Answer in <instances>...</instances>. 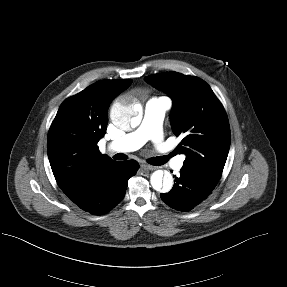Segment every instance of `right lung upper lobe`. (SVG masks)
I'll use <instances>...</instances> for the list:
<instances>
[{"mask_svg":"<svg viewBox=\"0 0 287 287\" xmlns=\"http://www.w3.org/2000/svg\"><path fill=\"white\" fill-rule=\"evenodd\" d=\"M131 83L98 81L60 105L49 129L47 152L59 187L72 201L97 172L115 162L99 152L97 143L106 132L110 103Z\"/></svg>","mask_w":287,"mask_h":287,"instance_id":"right-lung-upper-lobe-1","label":"right lung upper lobe"}]
</instances>
